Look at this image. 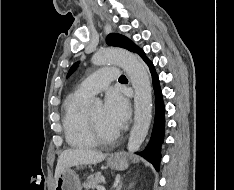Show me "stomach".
I'll use <instances>...</instances> for the list:
<instances>
[{"label":"stomach","mask_w":234,"mask_h":190,"mask_svg":"<svg viewBox=\"0 0 234 190\" xmlns=\"http://www.w3.org/2000/svg\"><path fill=\"white\" fill-rule=\"evenodd\" d=\"M107 164L116 170H124L128 167L126 158L120 154H116L108 159ZM54 190H81L79 176L74 170L70 168L65 169L56 178Z\"/></svg>","instance_id":"obj_1"}]
</instances>
